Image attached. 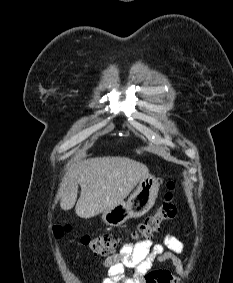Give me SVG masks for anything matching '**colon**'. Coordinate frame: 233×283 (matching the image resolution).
<instances>
[{"label":"colon","mask_w":233,"mask_h":283,"mask_svg":"<svg viewBox=\"0 0 233 283\" xmlns=\"http://www.w3.org/2000/svg\"><path fill=\"white\" fill-rule=\"evenodd\" d=\"M166 187L167 191L158 211L137 226L131 233L133 239L140 241L150 239L152 235L160 229L164 221L174 219L177 216L178 208L174 201L176 185L170 180L167 182ZM52 229L56 236H61L64 231L69 230V226L54 225ZM81 242L92 252L101 256H109L118 253L121 245L119 238L109 235H84L81 238Z\"/></svg>","instance_id":"5ec220e1"}]
</instances>
